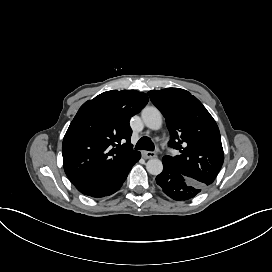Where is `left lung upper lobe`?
I'll list each match as a JSON object with an SVG mask.
<instances>
[{"mask_svg":"<svg viewBox=\"0 0 272 272\" xmlns=\"http://www.w3.org/2000/svg\"><path fill=\"white\" fill-rule=\"evenodd\" d=\"M148 94L166 118L169 145L181 153L164 156L162 162L201 185H210L224 161L220 132L213 117L186 90L167 88Z\"/></svg>","mask_w":272,"mask_h":272,"instance_id":"1","label":"left lung upper lobe"}]
</instances>
